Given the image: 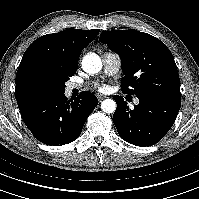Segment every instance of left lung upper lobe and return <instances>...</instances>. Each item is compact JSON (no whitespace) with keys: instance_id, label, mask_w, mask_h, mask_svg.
Listing matches in <instances>:
<instances>
[{"instance_id":"obj_1","label":"left lung upper lobe","mask_w":199,"mask_h":199,"mask_svg":"<svg viewBox=\"0 0 199 199\" xmlns=\"http://www.w3.org/2000/svg\"><path fill=\"white\" fill-rule=\"evenodd\" d=\"M99 41L121 58L123 93L181 97L173 55L158 38L131 29L103 31Z\"/></svg>"}]
</instances>
